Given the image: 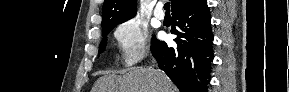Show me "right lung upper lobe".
Segmentation results:
<instances>
[{"label":"right lung upper lobe","instance_id":"cb5924a9","mask_svg":"<svg viewBox=\"0 0 289 92\" xmlns=\"http://www.w3.org/2000/svg\"><path fill=\"white\" fill-rule=\"evenodd\" d=\"M199 0H171V12L187 8ZM136 14V0H105L102 9V29L113 24L123 23Z\"/></svg>","mask_w":289,"mask_h":92}]
</instances>
